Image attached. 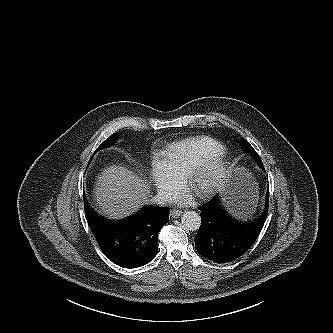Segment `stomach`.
I'll list each match as a JSON object with an SVG mask.
<instances>
[{
    "mask_svg": "<svg viewBox=\"0 0 333 333\" xmlns=\"http://www.w3.org/2000/svg\"><path fill=\"white\" fill-rule=\"evenodd\" d=\"M261 197L259 185L244 167H234L223 192L228 215L235 221L245 222L256 213Z\"/></svg>",
    "mask_w": 333,
    "mask_h": 333,
    "instance_id": "obj_1",
    "label": "stomach"
}]
</instances>
